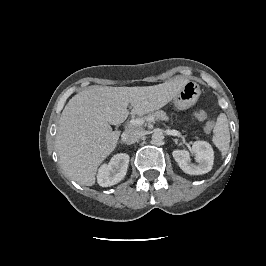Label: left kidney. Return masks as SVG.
Listing matches in <instances>:
<instances>
[{"instance_id":"left-kidney-1","label":"left kidney","mask_w":266,"mask_h":266,"mask_svg":"<svg viewBox=\"0 0 266 266\" xmlns=\"http://www.w3.org/2000/svg\"><path fill=\"white\" fill-rule=\"evenodd\" d=\"M192 151L198 164L191 163L189 153L184 150L172 152L179 167L190 175H201L211 171L214 162V151L211 145L206 141H195L192 145Z\"/></svg>"}]
</instances>
